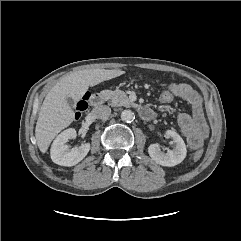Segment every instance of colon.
Listing matches in <instances>:
<instances>
[{
    "label": "colon",
    "mask_w": 241,
    "mask_h": 241,
    "mask_svg": "<svg viewBox=\"0 0 241 241\" xmlns=\"http://www.w3.org/2000/svg\"><path fill=\"white\" fill-rule=\"evenodd\" d=\"M174 98V95L170 88L166 86L158 96V99L161 103H170ZM88 107V96H83L82 99L76 105V118H78L83 111H85ZM203 152L198 150L193 153L192 159L197 161L201 158Z\"/></svg>",
    "instance_id": "obj_1"
}]
</instances>
